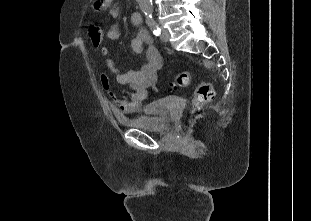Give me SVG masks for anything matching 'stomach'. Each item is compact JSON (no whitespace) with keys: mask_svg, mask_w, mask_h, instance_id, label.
Instances as JSON below:
<instances>
[{"mask_svg":"<svg viewBox=\"0 0 311 221\" xmlns=\"http://www.w3.org/2000/svg\"><path fill=\"white\" fill-rule=\"evenodd\" d=\"M110 0H93L95 10H103L108 6Z\"/></svg>","mask_w":311,"mask_h":221,"instance_id":"obj_1","label":"stomach"}]
</instances>
